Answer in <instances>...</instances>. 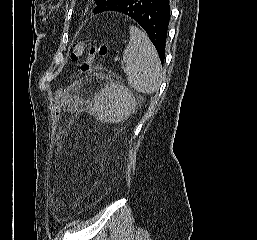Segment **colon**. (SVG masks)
Segmentation results:
<instances>
[{"label":"colon","instance_id":"colon-1","mask_svg":"<svg viewBox=\"0 0 257 240\" xmlns=\"http://www.w3.org/2000/svg\"><path fill=\"white\" fill-rule=\"evenodd\" d=\"M86 52V57L81 60L80 67L82 71H88L92 68L93 62L97 57H105L108 49L104 42L88 43L85 40L76 42L72 46L71 58L79 61L81 56ZM62 91H58L53 102V120L54 132H57L60 118L62 115Z\"/></svg>","mask_w":257,"mask_h":240}]
</instances>
